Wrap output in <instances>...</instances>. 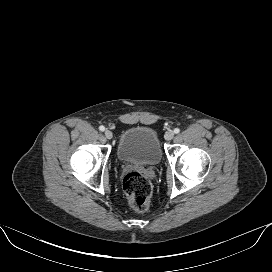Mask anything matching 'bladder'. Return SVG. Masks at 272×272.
<instances>
[{
  "instance_id": "31cf9c89",
  "label": "bladder",
  "mask_w": 272,
  "mask_h": 272,
  "mask_svg": "<svg viewBox=\"0 0 272 272\" xmlns=\"http://www.w3.org/2000/svg\"><path fill=\"white\" fill-rule=\"evenodd\" d=\"M117 157L123 163L158 165L162 159V147L157 133L145 126L125 130L117 146Z\"/></svg>"
}]
</instances>
